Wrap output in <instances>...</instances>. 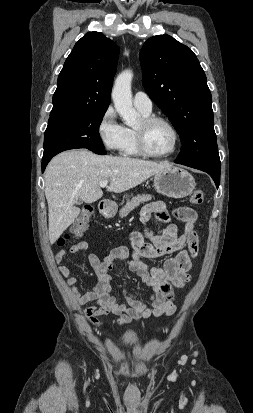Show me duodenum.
<instances>
[{
    "mask_svg": "<svg viewBox=\"0 0 253 413\" xmlns=\"http://www.w3.org/2000/svg\"><path fill=\"white\" fill-rule=\"evenodd\" d=\"M100 210L104 216H110L112 214V205L107 201H103L100 204Z\"/></svg>",
    "mask_w": 253,
    "mask_h": 413,
    "instance_id": "duodenum-1",
    "label": "duodenum"
}]
</instances>
